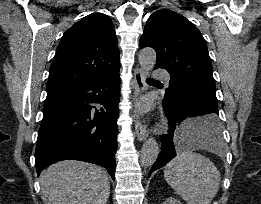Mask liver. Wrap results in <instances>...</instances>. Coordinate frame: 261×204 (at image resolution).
<instances>
[{"instance_id":"1","label":"liver","mask_w":261,"mask_h":204,"mask_svg":"<svg viewBox=\"0 0 261 204\" xmlns=\"http://www.w3.org/2000/svg\"><path fill=\"white\" fill-rule=\"evenodd\" d=\"M47 204H106L110 194L107 172L82 161H61L41 174Z\"/></svg>"}]
</instances>
